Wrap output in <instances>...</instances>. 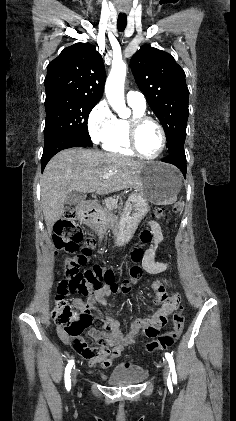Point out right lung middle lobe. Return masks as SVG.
<instances>
[{
    "label": "right lung middle lobe",
    "mask_w": 236,
    "mask_h": 421,
    "mask_svg": "<svg viewBox=\"0 0 236 421\" xmlns=\"http://www.w3.org/2000/svg\"><path fill=\"white\" fill-rule=\"evenodd\" d=\"M98 100L65 92L46 93L44 144L67 136L92 146L87 120Z\"/></svg>",
    "instance_id": "1"
}]
</instances>
